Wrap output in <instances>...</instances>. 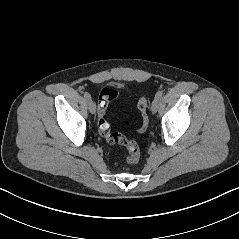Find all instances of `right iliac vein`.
Returning a JSON list of instances; mask_svg holds the SVG:
<instances>
[{
    "instance_id": "obj_1",
    "label": "right iliac vein",
    "mask_w": 239,
    "mask_h": 239,
    "mask_svg": "<svg viewBox=\"0 0 239 239\" xmlns=\"http://www.w3.org/2000/svg\"><path fill=\"white\" fill-rule=\"evenodd\" d=\"M88 108H89V111L92 114H95V112H96V105H95V103L92 100H88Z\"/></svg>"
}]
</instances>
